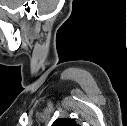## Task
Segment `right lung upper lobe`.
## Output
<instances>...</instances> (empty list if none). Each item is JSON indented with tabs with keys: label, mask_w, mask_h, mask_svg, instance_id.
Instances as JSON below:
<instances>
[{
	"label": "right lung upper lobe",
	"mask_w": 127,
	"mask_h": 126,
	"mask_svg": "<svg viewBox=\"0 0 127 126\" xmlns=\"http://www.w3.org/2000/svg\"><path fill=\"white\" fill-rule=\"evenodd\" d=\"M51 126H79L73 119L62 118L57 119Z\"/></svg>",
	"instance_id": "cb5924a9"
}]
</instances>
